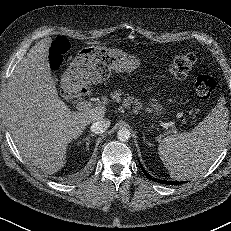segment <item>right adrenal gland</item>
<instances>
[{
  "label": "right adrenal gland",
  "instance_id": "right-adrenal-gland-1",
  "mask_svg": "<svg viewBox=\"0 0 231 231\" xmlns=\"http://www.w3.org/2000/svg\"><path fill=\"white\" fill-rule=\"evenodd\" d=\"M92 136H95V134H90L89 136H87L86 138H83L82 141H86V150H89V144H90V138Z\"/></svg>",
  "mask_w": 231,
  "mask_h": 231
}]
</instances>
